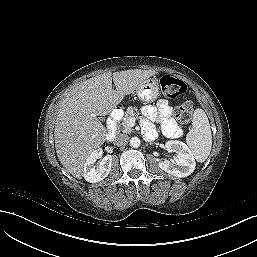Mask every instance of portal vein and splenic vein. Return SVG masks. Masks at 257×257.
<instances>
[{
  "label": "portal vein and splenic vein",
  "mask_w": 257,
  "mask_h": 257,
  "mask_svg": "<svg viewBox=\"0 0 257 257\" xmlns=\"http://www.w3.org/2000/svg\"><path fill=\"white\" fill-rule=\"evenodd\" d=\"M129 121H130L131 123H132V122H135V118L132 117V118H130Z\"/></svg>",
  "instance_id": "18ae733b"
}]
</instances>
